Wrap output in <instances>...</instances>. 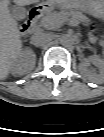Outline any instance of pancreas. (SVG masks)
<instances>
[{
  "label": "pancreas",
  "mask_w": 104,
  "mask_h": 137,
  "mask_svg": "<svg viewBox=\"0 0 104 137\" xmlns=\"http://www.w3.org/2000/svg\"><path fill=\"white\" fill-rule=\"evenodd\" d=\"M72 17L74 22H80L87 20V18L80 12H59L51 13L46 15L42 21L41 25L47 29H55L62 26L64 23L69 21V17Z\"/></svg>",
  "instance_id": "1"
}]
</instances>
